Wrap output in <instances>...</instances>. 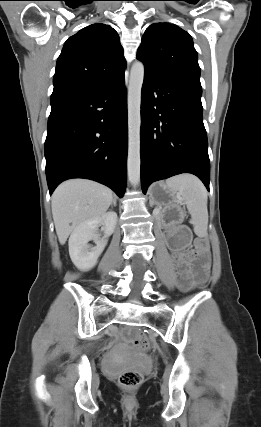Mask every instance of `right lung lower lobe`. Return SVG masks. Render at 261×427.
<instances>
[{"instance_id":"1","label":"right lung lower lobe","mask_w":261,"mask_h":427,"mask_svg":"<svg viewBox=\"0 0 261 427\" xmlns=\"http://www.w3.org/2000/svg\"><path fill=\"white\" fill-rule=\"evenodd\" d=\"M51 106L45 141L50 195L66 179L87 178L122 197L127 176L124 76Z\"/></svg>"}]
</instances>
